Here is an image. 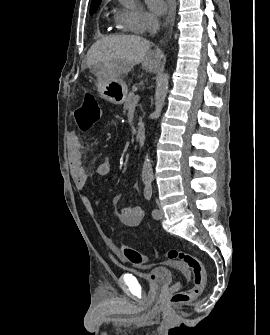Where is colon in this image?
<instances>
[{
  "instance_id": "obj_1",
  "label": "colon",
  "mask_w": 270,
  "mask_h": 335,
  "mask_svg": "<svg viewBox=\"0 0 270 335\" xmlns=\"http://www.w3.org/2000/svg\"><path fill=\"white\" fill-rule=\"evenodd\" d=\"M101 108L98 99L92 94H86L78 110H74V117L78 123L79 129L87 133L100 120ZM118 255L125 261L138 267L147 264L148 258L127 246L118 248ZM168 258L173 260L174 266L187 268L192 276V286L187 292H178L171 296L173 304L185 303L191 299L199 297L206 286V273L201 260L194 254L183 249H171L167 253Z\"/></svg>"
}]
</instances>
